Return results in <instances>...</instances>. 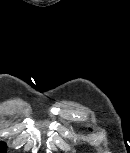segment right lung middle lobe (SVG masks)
<instances>
[{
    "label": "right lung middle lobe",
    "mask_w": 130,
    "mask_h": 153,
    "mask_svg": "<svg viewBox=\"0 0 130 153\" xmlns=\"http://www.w3.org/2000/svg\"><path fill=\"white\" fill-rule=\"evenodd\" d=\"M0 153H6V145L3 142H0Z\"/></svg>",
    "instance_id": "obj_1"
}]
</instances>
